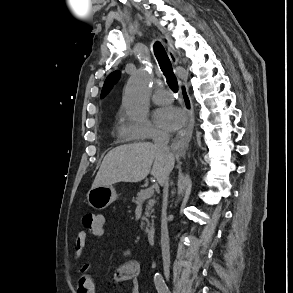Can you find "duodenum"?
Returning <instances> with one entry per match:
<instances>
[{"label":"duodenum","mask_w":293,"mask_h":293,"mask_svg":"<svg viewBox=\"0 0 293 293\" xmlns=\"http://www.w3.org/2000/svg\"><path fill=\"white\" fill-rule=\"evenodd\" d=\"M148 240L151 246L156 244L157 231L154 228H149L147 231Z\"/></svg>","instance_id":"1"}]
</instances>
